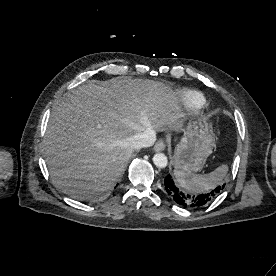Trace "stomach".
<instances>
[{
	"mask_svg": "<svg viewBox=\"0 0 276 276\" xmlns=\"http://www.w3.org/2000/svg\"><path fill=\"white\" fill-rule=\"evenodd\" d=\"M214 146L212 125L204 119L190 122L172 156L175 169L189 173L200 171Z\"/></svg>",
	"mask_w": 276,
	"mask_h": 276,
	"instance_id": "stomach-1",
	"label": "stomach"
}]
</instances>
